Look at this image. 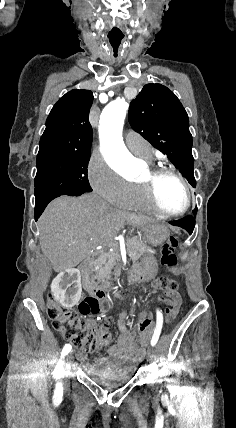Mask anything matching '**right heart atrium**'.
<instances>
[{
    "instance_id": "obj_1",
    "label": "right heart atrium",
    "mask_w": 236,
    "mask_h": 428,
    "mask_svg": "<svg viewBox=\"0 0 236 428\" xmlns=\"http://www.w3.org/2000/svg\"><path fill=\"white\" fill-rule=\"evenodd\" d=\"M88 180L98 197L107 200V206H123L129 196L130 185L101 157L90 160Z\"/></svg>"
}]
</instances>
